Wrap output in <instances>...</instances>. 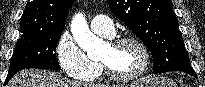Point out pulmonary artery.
<instances>
[{"label": "pulmonary artery", "instance_id": "pulmonary-artery-1", "mask_svg": "<svg viewBox=\"0 0 205 87\" xmlns=\"http://www.w3.org/2000/svg\"><path fill=\"white\" fill-rule=\"evenodd\" d=\"M91 29L97 34L112 37L115 34L113 21L106 15L99 14L93 17L90 21Z\"/></svg>", "mask_w": 205, "mask_h": 87}]
</instances>
